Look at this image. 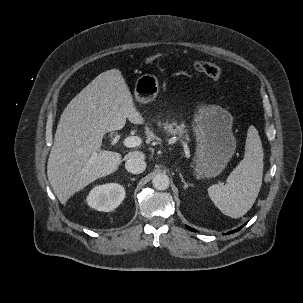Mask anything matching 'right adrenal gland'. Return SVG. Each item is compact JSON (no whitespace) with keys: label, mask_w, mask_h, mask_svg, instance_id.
Returning a JSON list of instances; mask_svg holds the SVG:
<instances>
[{"label":"right adrenal gland","mask_w":303,"mask_h":303,"mask_svg":"<svg viewBox=\"0 0 303 303\" xmlns=\"http://www.w3.org/2000/svg\"><path fill=\"white\" fill-rule=\"evenodd\" d=\"M131 180H132V181H134V180H135V178H131Z\"/></svg>","instance_id":"obj_1"}]
</instances>
